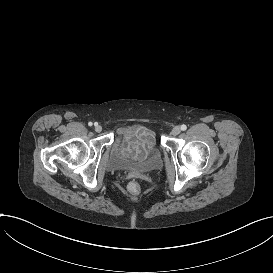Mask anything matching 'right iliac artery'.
Listing matches in <instances>:
<instances>
[{
    "instance_id": "obj_1",
    "label": "right iliac artery",
    "mask_w": 273,
    "mask_h": 273,
    "mask_svg": "<svg viewBox=\"0 0 273 273\" xmlns=\"http://www.w3.org/2000/svg\"><path fill=\"white\" fill-rule=\"evenodd\" d=\"M95 124H97V123H95ZM95 124H94V125H95ZM88 125H89V126H92V125H93V123H92V122H89V123H88Z\"/></svg>"
}]
</instances>
